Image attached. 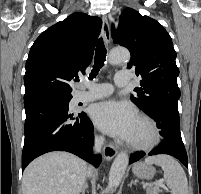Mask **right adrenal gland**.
<instances>
[{"mask_svg":"<svg viewBox=\"0 0 201 194\" xmlns=\"http://www.w3.org/2000/svg\"><path fill=\"white\" fill-rule=\"evenodd\" d=\"M87 188H88V186H87V184H86V185H84V187L81 189L80 192H81L82 194H85V192L88 191Z\"/></svg>","mask_w":201,"mask_h":194,"instance_id":"1","label":"right adrenal gland"}]
</instances>
